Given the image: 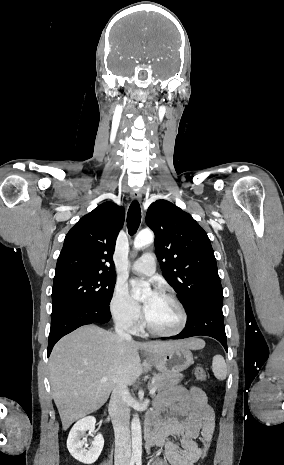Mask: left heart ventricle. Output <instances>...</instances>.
Here are the masks:
<instances>
[{
    "label": "left heart ventricle",
    "instance_id": "1",
    "mask_svg": "<svg viewBox=\"0 0 284 465\" xmlns=\"http://www.w3.org/2000/svg\"><path fill=\"white\" fill-rule=\"evenodd\" d=\"M147 323L158 332H172L180 323L177 308L164 296L157 295L144 313Z\"/></svg>",
    "mask_w": 284,
    "mask_h": 465
}]
</instances>
